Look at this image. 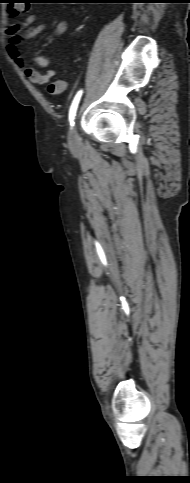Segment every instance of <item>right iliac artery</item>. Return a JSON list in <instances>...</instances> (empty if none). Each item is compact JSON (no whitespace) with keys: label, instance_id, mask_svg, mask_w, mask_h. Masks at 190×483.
Returning a JSON list of instances; mask_svg holds the SVG:
<instances>
[{"label":"right iliac artery","instance_id":"1","mask_svg":"<svg viewBox=\"0 0 190 483\" xmlns=\"http://www.w3.org/2000/svg\"><path fill=\"white\" fill-rule=\"evenodd\" d=\"M81 95H82V90H80L73 102H72V105L70 107V111H69V121H70V125L73 126L74 125V118H75V115H76V111H77V107H78V103L80 101V98H81Z\"/></svg>","mask_w":190,"mask_h":483}]
</instances>
